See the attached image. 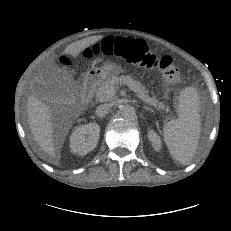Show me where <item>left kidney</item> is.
Segmentation results:
<instances>
[{
    "instance_id": "1",
    "label": "left kidney",
    "mask_w": 231,
    "mask_h": 231,
    "mask_svg": "<svg viewBox=\"0 0 231 231\" xmlns=\"http://www.w3.org/2000/svg\"><path fill=\"white\" fill-rule=\"evenodd\" d=\"M148 138L151 141L154 149L156 151H159L161 148V140H160L159 136L153 130H150L148 132Z\"/></svg>"
}]
</instances>
